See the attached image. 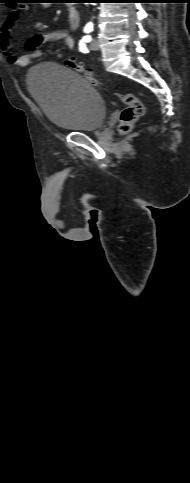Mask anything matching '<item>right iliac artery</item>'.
Segmentation results:
<instances>
[{
    "mask_svg": "<svg viewBox=\"0 0 190 483\" xmlns=\"http://www.w3.org/2000/svg\"><path fill=\"white\" fill-rule=\"evenodd\" d=\"M92 30H93L92 25H89V24H88V25H86V26L84 27V32H85V33H89V32H91Z\"/></svg>",
    "mask_w": 190,
    "mask_h": 483,
    "instance_id": "82829eb1",
    "label": "right iliac artery"
}]
</instances>
